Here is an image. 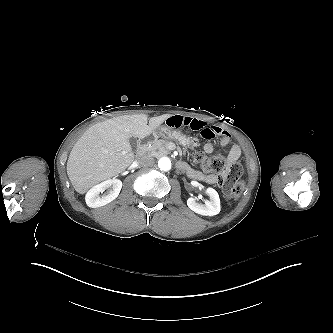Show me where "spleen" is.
<instances>
[{
    "label": "spleen",
    "mask_w": 333,
    "mask_h": 333,
    "mask_svg": "<svg viewBox=\"0 0 333 333\" xmlns=\"http://www.w3.org/2000/svg\"><path fill=\"white\" fill-rule=\"evenodd\" d=\"M233 204H234L233 200L227 202V206H229V207H231Z\"/></svg>",
    "instance_id": "1"
}]
</instances>
